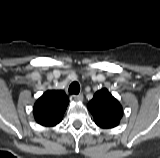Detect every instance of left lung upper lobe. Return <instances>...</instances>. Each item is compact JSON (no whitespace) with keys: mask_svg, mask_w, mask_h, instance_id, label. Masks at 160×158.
Returning <instances> with one entry per match:
<instances>
[{"mask_svg":"<svg viewBox=\"0 0 160 158\" xmlns=\"http://www.w3.org/2000/svg\"><path fill=\"white\" fill-rule=\"evenodd\" d=\"M88 109L92 113L95 123L104 129L114 128L119 125L123 116L121 104L106 88L95 93L88 104Z\"/></svg>","mask_w":160,"mask_h":158,"instance_id":"left-lung-upper-lobe-1","label":"left lung upper lobe"}]
</instances>
